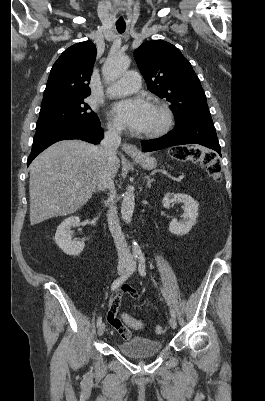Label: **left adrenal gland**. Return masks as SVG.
I'll return each instance as SVG.
<instances>
[{"label": "left adrenal gland", "instance_id": "obj_1", "mask_svg": "<svg viewBox=\"0 0 265 401\" xmlns=\"http://www.w3.org/2000/svg\"><path fill=\"white\" fill-rule=\"evenodd\" d=\"M144 178H146V180H147V182H146L147 188H151V182H153L154 178H151V176H148V174H146V176H144Z\"/></svg>", "mask_w": 265, "mask_h": 401}]
</instances>
